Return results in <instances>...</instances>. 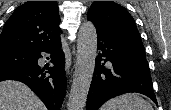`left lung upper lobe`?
<instances>
[{
    "label": "left lung upper lobe",
    "instance_id": "1",
    "mask_svg": "<svg viewBox=\"0 0 171 110\" xmlns=\"http://www.w3.org/2000/svg\"><path fill=\"white\" fill-rule=\"evenodd\" d=\"M97 33L145 54L136 23L129 12L113 1H94L88 11Z\"/></svg>",
    "mask_w": 171,
    "mask_h": 110
}]
</instances>
